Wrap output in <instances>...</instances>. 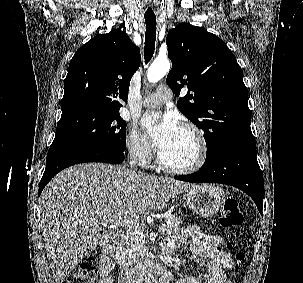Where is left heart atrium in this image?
<instances>
[{
    "label": "left heart atrium",
    "mask_w": 303,
    "mask_h": 283,
    "mask_svg": "<svg viewBox=\"0 0 303 283\" xmlns=\"http://www.w3.org/2000/svg\"><path fill=\"white\" fill-rule=\"evenodd\" d=\"M142 127L160 150L169 144L180 128L172 112L149 113L143 118Z\"/></svg>",
    "instance_id": "1"
}]
</instances>
